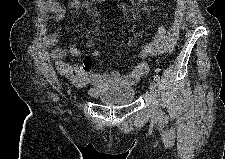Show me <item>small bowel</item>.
<instances>
[{
    "label": "small bowel",
    "mask_w": 225,
    "mask_h": 159,
    "mask_svg": "<svg viewBox=\"0 0 225 159\" xmlns=\"http://www.w3.org/2000/svg\"><path fill=\"white\" fill-rule=\"evenodd\" d=\"M45 12L51 14L57 22H62L65 18L66 9L72 12L85 10L91 16L96 17V12L91 4L84 3L81 0H71L67 8L61 3L53 0H47L43 3ZM186 11V1L177 0V9L172 26L167 29L160 26L153 39L141 45L138 53L140 58L127 72H101L94 68V59L100 56V51L93 50L92 56L84 57L80 64H72L64 60L67 54L73 57H82L83 52L77 44H71L69 47L57 46L52 51V58L59 73L69 78L72 83L79 88L91 85V96H97L102 89L112 84L134 85L148 72V64L145 58L159 54L170 53L174 50L183 16ZM43 40L49 47H54L60 38L59 29L49 33L46 26H42ZM132 43V37L129 38V44ZM92 41L88 47L92 46Z\"/></svg>",
    "instance_id": "small-bowel-1"
}]
</instances>
